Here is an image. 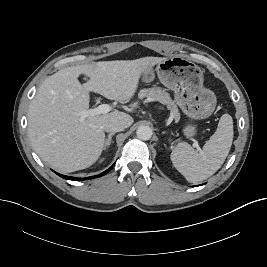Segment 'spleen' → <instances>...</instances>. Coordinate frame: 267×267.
<instances>
[{
    "label": "spleen",
    "instance_id": "1",
    "mask_svg": "<svg viewBox=\"0 0 267 267\" xmlns=\"http://www.w3.org/2000/svg\"><path fill=\"white\" fill-rule=\"evenodd\" d=\"M233 134L232 117L223 114L216 132L201 151L197 152L188 143L181 142L172 151L171 161L188 182H201L220 169L230 151Z\"/></svg>",
    "mask_w": 267,
    "mask_h": 267
}]
</instances>
